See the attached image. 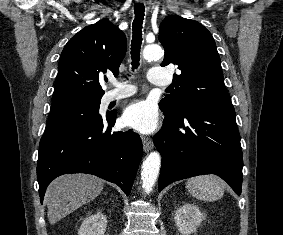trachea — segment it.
I'll use <instances>...</instances> for the list:
<instances>
[{
  "label": "trachea",
  "instance_id": "obj_1",
  "mask_svg": "<svg viewBox=\"0 0 283 235\" xmlns=\"http://www.w3.org/2000/svg\"><path fill=\"white\" fill-rule=\"evenodd\" d=\"M145 6L144 4H136L134 6L135 18L133 21V36L131 43V59L132 69H137L140 61V47L142 44V25L144 20Z\"/></svg>",
  "mask_w": 283,
  "mask_h": 235
}]
</instances>
